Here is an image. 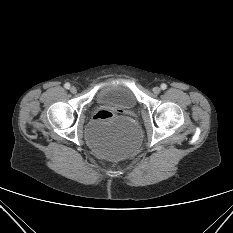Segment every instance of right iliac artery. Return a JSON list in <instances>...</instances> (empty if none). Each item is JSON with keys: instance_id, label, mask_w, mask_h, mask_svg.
I'll return each instance as SVG.
<instances>
[{"instance_id": "right-iliac-artery-1", "label": "right iliac artery", "mask_w": 233, "mask_h": 233, "mask_svg": "<svg viewBox=\"0 0 233 233\" xmlns=\"http://www.w3.org/2000/svg\"><path fill=\"white\" fill-rule=\"evenodd\" d=\"M64 87H65L66 89H69V88H70V84H69V83H65V84H64Z\"/></svg>"}]
</instances>
